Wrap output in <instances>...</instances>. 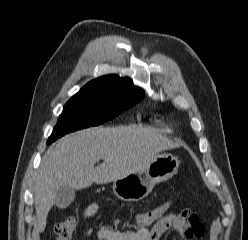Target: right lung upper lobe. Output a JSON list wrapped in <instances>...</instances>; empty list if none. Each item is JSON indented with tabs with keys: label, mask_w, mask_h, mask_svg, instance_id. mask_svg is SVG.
I'll return each mask as SVG.
<instances>
[{
	"label": "right lung upper lobe",
	"mask_w": 248,
	"mask_h": 240,
	"mask_svg": "<svg viewBox=\"0 0 248 240\" xmlns=\"http://www.w3.org/2000/svg\"><path fill=\"white\" fill-rule=\"evenodd\" d=\"M127 82H131L128 78H120L117 75H106L87 83L81 90L89 89H114Z\"/></svg>",
	"instance_id": "cb5924a9"
}]
</instances>
